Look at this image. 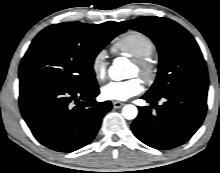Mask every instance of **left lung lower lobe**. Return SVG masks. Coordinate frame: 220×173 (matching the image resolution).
I'll return each mask as SVG.
<instances>
[{
	"label": "left lung lower lobe",
	"mask_w": 220,
	"mask_h": 173,
	"mask_svg": "<svg viewBox=\"0 0 220 173\" xmlns=\"http://www.w3.org/2000/svg\"><path fill=\"white\" fill-rule=\"evenodd\" d=\"M161 98L166 101L153 111ZM142 99L151 105L139 109L131 129L155 149L169 150L186 143L201 126L207 110V92L178 90L159 97L146 93Z\"/></svg>",
	"instance_id": "obj_1"
}]
</instances>
